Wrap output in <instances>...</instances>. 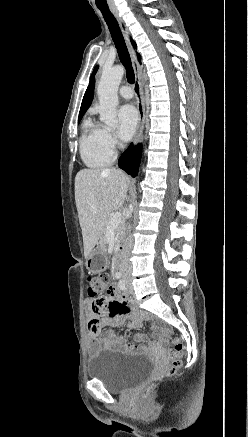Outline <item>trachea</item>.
<instances>
[{
  "label": "trachea",
  "mask_w": 248,
  "mask_h": 437,
  "mask_svg": "<svg viewBox=\"0 0 248 437\" xmlns=\"http://www.w3.org/2000/svg\"><path fill=\"white\" fill-rule=\"evenodd\" d=\"M99 10L101 11V13H102L107 25H108L113 42H114L115 47L117 49L119 59H120L121 63L125 66L127 80L130 84H133L135 81L134 70H133L130 55H129L128 49L126 47L122 32L120 30V27L118 25V22L115 19L114 15L109 10V8L99 7Z\"/></svg>",
  "instance_id": "1"
}]
</instances>
